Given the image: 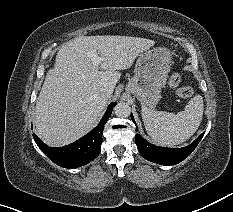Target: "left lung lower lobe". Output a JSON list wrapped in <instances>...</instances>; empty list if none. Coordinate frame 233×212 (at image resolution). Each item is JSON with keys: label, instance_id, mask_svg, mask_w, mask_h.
Here are the masks:
<instances>
[{"label": "left lung lower lobe", "instance_id": "obj_1", "mask_svg": "<svg viewBox=\"0 0 233 212\" xmlns=\"http://www.w3.org/2000/svg\"><path fill=\"white\" fill-rule=\"evenodd\" d=\"M131 119L135 123L132 114ZM203 134H201L193 143L183 148L158 147L147 142L139 134L135 136V140L140 154L145 159L157 164L175 165L183 161L192 153L203 137Z\"/></svg>", "mask_w": 233, "mask_h": 212}]
</instances>
